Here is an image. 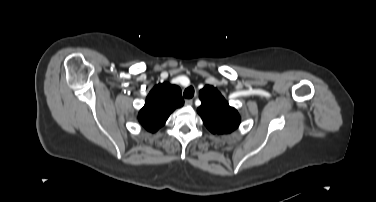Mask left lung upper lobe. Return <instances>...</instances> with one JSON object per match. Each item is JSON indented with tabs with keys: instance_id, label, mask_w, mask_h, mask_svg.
I'll list each match as a JSON object with an SVG mask.
<instances>
[{
	"instance_id": "1",
	"label": "left lung upper lobe",
	"mask_w": 376,
	"mask_h": 202,
	"mask_svg": "<svg viewBox=\"0 0 376 202\" xmlns=\"http://www.w3.org/2000/svg\"><path fill=\"white\" fill-rule=\"evenodd\" d=\"M199 98L202 104L197 112L209 131L213 134H226L238 128L239 113L235 108L229 106L216 88L206 85L200 90Z\"/></svg>"
}]
</instances>
